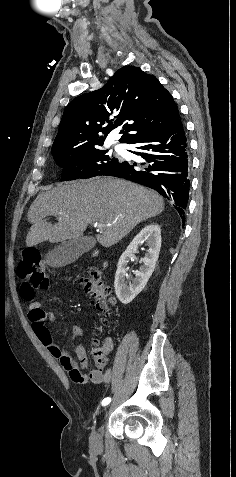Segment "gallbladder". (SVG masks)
I'll use <instances>...</instances> for the list:
<instances>
[{
	"instance_id": "1",
	"label": "gallbladder",
	"mask_w": 236,
	"mask_h": 477,
	"mask_svg": "<svg viewBox=\"0 0 236 477\" xmlns=\"http://www.w3.org/2000/svg\"><path fill=\"white\" fill-rule=\"evenodd\" d=\"M95 243V239L90 236L63 241L47 253V262L53 267L65 266L91 250Z\"/></svg>"
}]
</instances>
